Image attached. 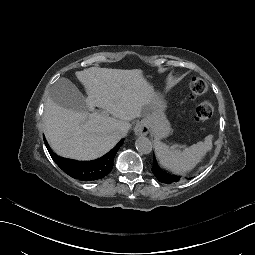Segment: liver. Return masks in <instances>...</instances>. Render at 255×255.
Here are the masks:
<instances>
[{
    "instance_id": "6515ba94",
    "label": "liver",
    "mask_w": 255,
    "mask_h": 255,
    "mask_svg": "<svg viewBox=\"0 0 255 255\" xmlns=\"http://www.w3.org/2000/svg\"><path fill=\"white\" fill-rule=\"evenodd\" d=\"M75 74L88 94L87 107L92 111L94 107L102 108L113 117L105 113L88 116L65 109L48 97L44 109V134L59 156L82 161L97 159L119 141L118 124L139 117L144 105L164 114V100L144 79L141 70L90 67Z\"/></svg>"
}]
</instances>
